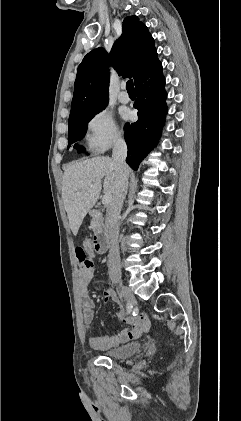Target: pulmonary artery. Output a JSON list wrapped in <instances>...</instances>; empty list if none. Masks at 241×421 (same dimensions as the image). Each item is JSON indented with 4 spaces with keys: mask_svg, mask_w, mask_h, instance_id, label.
Here are the masks:
<instances>
[{
    "mask_svg": "<svg viewBox=\"0 0 241 421\" xmlns=\"http://www.w3.org/2000/svg\"><path fill=\"white\" fill-rule=\"evenodd\" d=\"M118 100L119 102L126 104L130 101V97L125 91H121L118 94Z\"/></svg>",
    "mask_w": 241,
    "mask_h": 421,
    "instance_id": "obj_1",
    "label": "pulmonary artery"
}]
</instances>
